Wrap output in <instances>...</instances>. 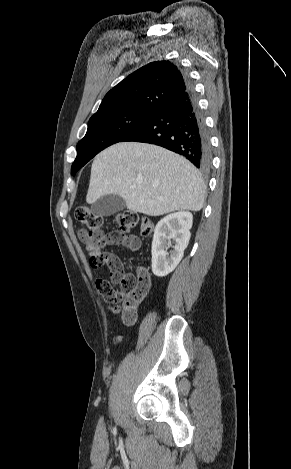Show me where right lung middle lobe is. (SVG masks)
I'll return each instance as SVG.
<instances>
[{
  "label": "right lung middle lobe",
  "mask_w": 291,
  "mask_h": 469,
  "mask_svg": "<svg viewBox=\"0 0 291 469\" xmlns=\"http://www.w3.org/2000/svg\"><path fill=\"white\" fill-rule=\"evenodd\" d=\"M152 110L131 109L119 113L91 118L86 135L77 144V157L71 174L83 167L97 153L120 142L140 127L153 113Z\"/></svg>",
  "instance_id": "right-lung-middle-lobe-1"
}]
</instances>
